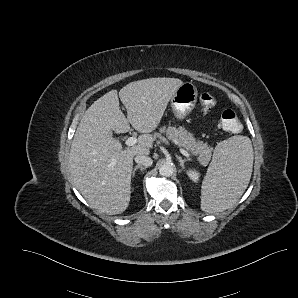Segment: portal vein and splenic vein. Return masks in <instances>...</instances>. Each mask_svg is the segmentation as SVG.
<instances>
[{
    "instance_id": "obj_1",
    "label": "portal vein and splenic vein",
    "mask_w": 298,
    "mask_h": 298,
    "mask_svg": "<svg viewBox=\"0 0 298 298\" xmlns=\"http://www.w3.org/2000/svg\"><path fill=\"white\" fill-rule=\"evenodd\" d=\"M138 138L136 136H132V137H129L126 141L127 145L129 146H133V145H136L138 143ZM177 149L178 151L182 154V155H185L187 156L188 155V152L185 148L181 147V146H177Z\"/></svg>"
}]
</instances>
